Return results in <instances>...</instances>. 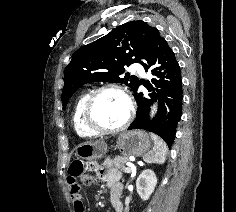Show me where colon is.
Returning a JSON list of instances; mask_svg holds the SVG:
<instances>
[{"label": "colon", "mask_w": 236, "mask_h": 212, "mask_svg": "<svg viewBox=\"0 0 236 212\" xmlns=\"http://www.w3.org/2000/svg\"><path fill=\"white\" fill-rule=\"evenodd\" d=\"M71 175H77L82 180L83 185H91L94 181L96 171L90 164L83 162H75L71 166Z\"/></svg>", "instance_id": "colon-1"}]
</instances>
